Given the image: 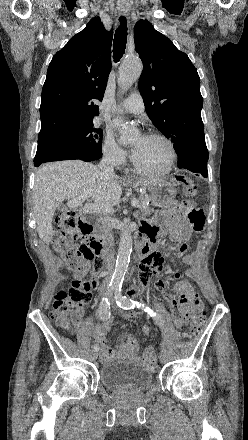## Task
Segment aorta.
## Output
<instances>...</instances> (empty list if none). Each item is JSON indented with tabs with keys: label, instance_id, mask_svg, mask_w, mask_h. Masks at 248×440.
<instances>
[{
	"label": "aorta",
	"instance_id": "obj_1",
	"mask_svg": "<svg viewBox=\"0 0 248 440\" xmlns=\"http://www.w3.org/2000/svg\"><path fill=\"white\" fill-rule=\"evenodd\" d=\"M142 63L138 58H126L119 68V86L122 91H127L141 75ZM113 124L120 134L119 141L122 144L131 142L135 137V129L128 126L121 117H116ZM132 232L126 227L122 230L116 259L115 270L110 282L112 288L122 285L127 271L130 255L132 252Z\"/></svg>",
	"mask_w": 248,
	"mask_h": 440
}]
</instances>
